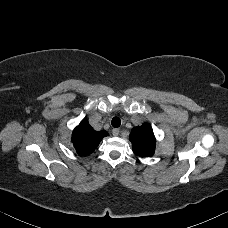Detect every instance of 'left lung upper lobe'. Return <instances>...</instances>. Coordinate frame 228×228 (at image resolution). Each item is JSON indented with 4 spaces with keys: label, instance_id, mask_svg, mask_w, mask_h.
I'll use <instances>...</instances> for the list:
<instances>
[{
    "label": "left lung upper lobe",
    "instance_id": "left-lung-upper-lobe-1",
    "mask_svg": "<svg viewBox=\"0 0 228 228\" xmlns=\"http://www.w3.org/2000/svg\"><path fill=\"white\" fill-rule=\"evenodd\" d=\"M130 141L133 151L141 157H151L155 152L156 139L150 124L145 123L134 127L131 131Z\"/></svg>",
    "mask_w": 228,
    "mask_h": 228
}]
</instances>
